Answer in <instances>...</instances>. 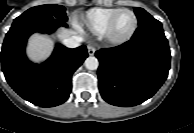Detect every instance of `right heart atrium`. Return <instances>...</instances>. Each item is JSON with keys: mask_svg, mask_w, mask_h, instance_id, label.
Wrapping results in <instances>:
<instances>
[{"mask_svg": "<svg viewBox=\"0 0 194 133\" xmlns=\"http://www.w3.org/2000/svg\"><path fill=\"white\" fill-rule=\"evenodd\" d=\"M74 25H75L76 28H78V29L80 28L79 25H78L77 23H75Z\"/></svg>", "mask_w": 194, "mask_h": 133, "instance_id": "1", "label": "right heart atrium"}]
</instances>
